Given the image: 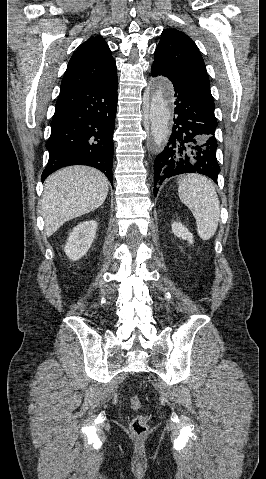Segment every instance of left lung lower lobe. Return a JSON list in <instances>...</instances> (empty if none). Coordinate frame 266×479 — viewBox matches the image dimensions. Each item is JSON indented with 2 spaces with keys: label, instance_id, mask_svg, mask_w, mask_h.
<instances>
[{
  "label": "left lung lower lobe",
  "instance_id": "0a47b994",
  "mask_svg": "<svg viewBox=\"0 0 266 479\" xmlns=\"http://www.w3.org/2000/svg\"><path fill=\"white\" fill-rule=\"evenodd\" d=\"M151 72L153 77L165 76L153 66ZM170 81L177 98L174 112L177 116L169 142L154 162L155 196L160 185L174 175L199 173L217 183L220 172L214 136L217 127L214 102L179 82Z\"/></svg>",
  "mask_w": 266,
  "mask_h": 479
}]
</instances>
